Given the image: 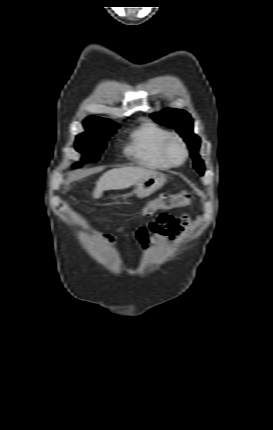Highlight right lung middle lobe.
<instances>
[{
  "label": "right lung middle lobe",
  "instance_id": "1",
  "mask_svg": "<svg viewBox=\"0 0 273 430\" xmlns=\"http://www.w3.org/2000/svg\"><path fill=\"white\" fill-rule=\"evenodd\" d=\"M84 126L86 131L78 135L75 142L76 150L83 154L82 162L77 163L76 167L86 162H96L106 148L108 139L119 127L118 125L103 127L88 124H84Z\"/></svg>",
  "mask_w": 273,
  "mask_h": 430
}]
</instances>
